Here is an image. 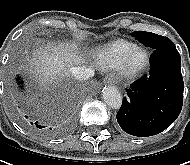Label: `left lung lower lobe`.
Segmentation results:
<instances>
[{
  "label": "left lung lower lobe",
  "mask_w": 190,
  "mask_h": 165,
  "mask_svg": "<svg viewBox=\"0 0 190 165\" xmlns=\"http://www.w3.org/2000/svg\"><path fill=\"white\" fill-rule=\"evenodd\" d=\"M148 76L135 81L117 113V122L128 134L147 137L168 128L179 116L184 82L181 58L172 41L154 49Z\"/></svg>",
  "instance_id": "left-lung-lower-lobe-1"
}]
</instances>
